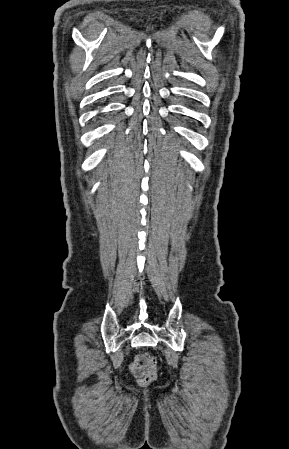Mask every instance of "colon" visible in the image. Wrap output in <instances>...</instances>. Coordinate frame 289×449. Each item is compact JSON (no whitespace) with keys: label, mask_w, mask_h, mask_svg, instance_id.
<instances>
[{"label":"colon","mask_w":289,"mask_h":449,"mask_svg":"<svg viewBox=\"0 0 289 449\" xmlns=\"http://www.w3.org/2000/svg\"><path fill=\"white\" fill-rule=\"evenodd\" d=\"M147 362L150 367L149 371L139 378V384L142 386L149 385L157 377V359L155 356L147 355Z\"/></svg>","instance_id":"obj_1"}]
</instances>
